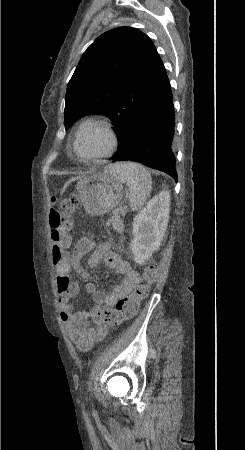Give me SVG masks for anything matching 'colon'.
I'll list each match as a JSON object with an SVG mask.
<instances>
[{
    "instance_id": "colon-1",
    "label": "colon",
    "mask_w": 245,
    "mask_h": 450,
    "mask_svg": "<svg viewBox=\"0 0 245 450\" xmlns=\"http://www.w3.org/2000/svg\"><path fill=\"white\" fill-rule=\"evenodd\" d=\"M53 209L48 216V228L52 243L53 263L59 264L68 255L71 244V214L77 208L78 198L72 194L63 198L52 199ZM158 267L149 264L143 270V282L138 284L126 297L119 299L115 306L104 305L97 311L98 320L110 326H117L133 318L140 304L149 296L151 285L158 279Z\"/></svg>"
}]
</instances>
